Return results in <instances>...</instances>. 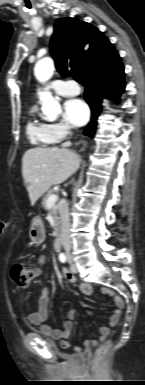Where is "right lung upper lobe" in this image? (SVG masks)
Segmentation results:
<instances>
[{"instance_id": "right-lung-upper-lobe-1", "label": "right lung upper lobe", "mask_w": 145, "mask_h": 385, "mask_svg": "<svg viewBox=\"0 0 145 385\" xmlns=\"http://www.w3.org/2000/svg\"><path fill=\"white\" fill-rule=\"evenodd\" d=\"M59 72L67 66L77 69L85 78L113 68L121 61L107 37L89 23L73 18L59 19L50 43Z\"/></svg>"}]
</instances>
